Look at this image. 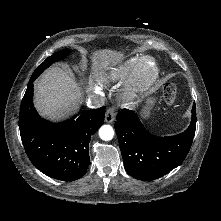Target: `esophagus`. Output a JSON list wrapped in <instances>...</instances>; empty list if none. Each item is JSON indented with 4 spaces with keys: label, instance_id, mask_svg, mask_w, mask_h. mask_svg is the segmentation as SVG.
<instances>
[{
    "label": "esophagus",
    "instance_id": "34e87169",
    "mask_svg": "<svg viewBox=\"0 0 221 221\" xmlns=\"http://www.w3.org/2000/svg\"><path fill=\"white\" fill-rule=\"evenodd\" d=\"M115 116H116V108L110 107L107 109L105 113V121L107 123H112L115 120Z\"/></svg>",
    "mask_w": 221,
    "mask_h": 221
}]
</instances>
